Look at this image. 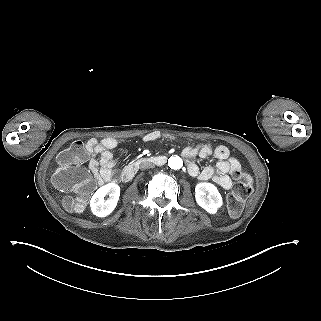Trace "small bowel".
<instances>
[{
    "mask_svg": "<svg viewBox=\"0 0 321 321\" xmlns=\"http://www.w3.org/2000/svg\"><path fill=\"white\" fill-rule=\"evenodd\" d=\"M164 136L160 132H151L144 136V142H153ZM116 139L107 137L102 140L96 138L89 139L85 144L87 152L88 166L98 185H102L115 178L116 162L113 158L112 150L116 148ZM183 156L187 162V169L191 176L202 181L212 180L224 189L233 187L234 181L231 177L234 170L240 168V162L235 157L230 156L229 149L220 145L216 148L209 143H201L195 146L186 147ZM214 156L217 163L214 167H204L200 169L194 162L199 157L202 159Z\"/></svg>",
    "mask_w": 321,
    "mask_h": 321,
    "instance_id": "obj_1",
    "label": "small bowel"
}]
</instances>
